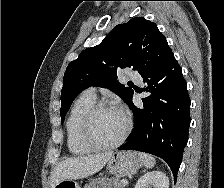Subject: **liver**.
Returning <instances> with one entry per match:
<instances>
[{
	"instance_id": "6515ba94",
	"label": "liver",
	"mask_w": 224,
	"mask_h": 188,
	"mask_svg": "<svg viewBox=\"0 0 224 188\" xmlns=\"http://www.w3.org/2000/svg\"><path fill=\"white\" fill-rule=\"evenodd\" d=\"M112 152L76 156L60 161L50 178V188L62 180H76L93 175L101 170L110 159Z\"/></svg>"
}]
</instances>
